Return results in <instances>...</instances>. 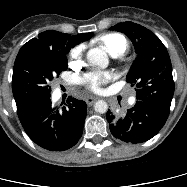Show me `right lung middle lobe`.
Listing matches in <instances>:
<instances>
[{
	"label": "right lung middle lobe",
	"instance_id": "right-lung-middle-lobe-1",
	"mask_svg": "<svg viewBox=\"0 0 187 187\" xmlns=\"http://www.w3.org/2000/svg\"><path fill=\"white\" fill-rule=\"evenodd\" d=\"M69 49L22 47L16 57L12 90L16 105L49 95L50 81L67 69Z\"/></svg>",
	"mask_w": 187,
	"mask_h": 187
}]
</instances>
